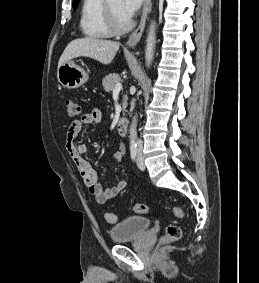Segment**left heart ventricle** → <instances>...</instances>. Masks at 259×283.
<instances>
[{
  "instance_id": "b2bd125f",
  "label": "left heart ventricle",
  "mask_w": 259,
  "mask_h": 283,
  "mask_svg": "<svg viewBox=\"0 0 259 283\" xmlns=\"http://www.w3.org/2000/svg\"><path fill=\"white\" fill-rule=\"evenodd\" d=\"M110 4L121 23H125L128 19L123 15L121 11V0H110Z\"/></svg>"
}]
</instances>
